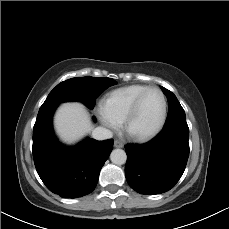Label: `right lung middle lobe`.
Wrapping results in <instances>:
<instances>
[{
    "label": "right lung middle lobe",
    "mask_w": 229,
    "mask_h": 229,
    "mask_svg": "<svg viewBox=\"0 0 229 229\" xmlns=\"http://www.w3.org/2000/svg\"><path fill=\"white\" fill-rule=\"evenodd\" d=\"M117 84L112 78L76 77L58 84L48 95L41 108H51L66 101H80L89 109L108 87Z\"/></svg>",
    "instance_id": "right-lung-middle-lobe-1"
}]
</instances>
